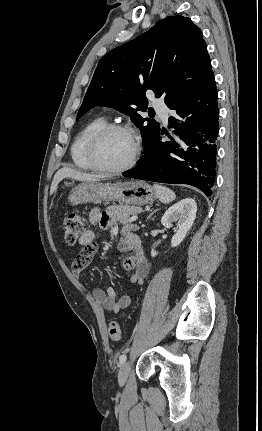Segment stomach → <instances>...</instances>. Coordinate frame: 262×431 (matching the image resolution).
<instances>
[{
	"label": "stomach",
	"mask_w": 262,
	"mask_h": 431,
	"mask_svg": "<svg viewBox=\"0 0 262 431\" xmlns=\"http://www.w3.org/2000/svg\"><path fill=\"white\" fill-rule=\"evenodd\" d=\"M154 189L144 181L102 183L84 182L71 190L68 201L71 205L97 202H120L127 206L144 205L156 199Z\"/></svg>",
	"instance_id": "stomach-1"
}]
</instances>
